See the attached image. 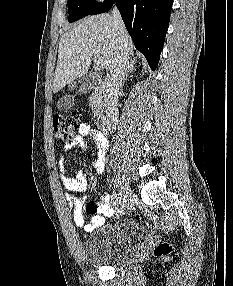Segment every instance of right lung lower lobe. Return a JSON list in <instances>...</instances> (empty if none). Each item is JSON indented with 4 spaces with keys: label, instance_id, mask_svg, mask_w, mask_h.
Wrapping results in <instances>:
<instances>
[{
    "label": "right lung lower lobe",
    "instance_id": "98d812e1",
    "mask_svg": "<svg viewBox=\"0 0 233 286\" xmlns=\"http://www.w3.org/2000/svg\"><path fill=\"white\" fill-rule=\"evenodd\" d=\"M116 3L135 47L155 70L169 25L173 0H104L90 14L109 11Z\"/></svg>",
    "mask_w": 233,
    "mask_h": 286
}]
</instances>
